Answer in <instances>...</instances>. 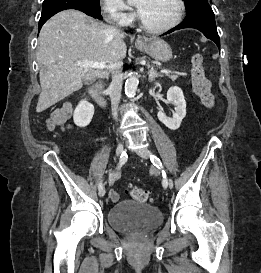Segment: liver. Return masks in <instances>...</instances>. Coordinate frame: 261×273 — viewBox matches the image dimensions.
I'll list each match as a JSON object with an SVG mask.
<instances>
[{
	"mask_svg": "<svg viewBox=\"0 0 261 273\" xmlns=\"http://www.w3.org/2000/svg\"><path fill=\"white\" fill-rule=\"evenodd\" d=\"M125 34L96 21L81 11L68 9L51 17L38 38L37 62L41 93L36 111L42 112L82 88L83 82L105 74L103 69L85 70L77 61L112 66L126 57Z\"/></svg>",
	"mask_w": 261,
	"mask_h": 273,
	"instance_id": "obj_1",
	"label": "liver"
}]
</instances>
